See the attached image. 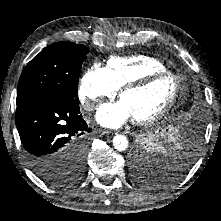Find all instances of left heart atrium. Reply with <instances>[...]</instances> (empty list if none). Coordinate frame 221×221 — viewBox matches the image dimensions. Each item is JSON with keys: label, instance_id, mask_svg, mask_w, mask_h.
<instances>
[{"label": "left heart atrium", "instance_id": "left-heart-atrium-1", "mask_svg": "<svg viewBox=\"0 0 221 221\" xmlns=\"http://www.w3.org/2000/svg\"><path fill=\"white\" fill-rule=\"evenodd\" d=\"M131 118L130 111L121 100L103 104L96 114L97 121L110 128H118Z\"/></svg>", "mask_w": 221, "mask_h": 221}]
</instances>
